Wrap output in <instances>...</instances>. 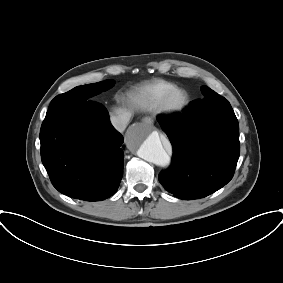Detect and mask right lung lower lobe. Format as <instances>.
<instances>
[{
    "mask_svg": "<svg viewBox=\"0 0 283 283\" xmlns=\"http://www.w3.org/2000/svg\"><path fill=\"white\" fill-rule=\"evenodd\" d=\"M123 141L103 105L88 100L57 103L41 126V160L59 192L101 201L119 187Z\"/></svg>",
    "mask_w": 283,
    "mask_h": 283,
    "instance_id": "98d812e1",
    "label": "right lung lower lobe"
}]
</instances>
